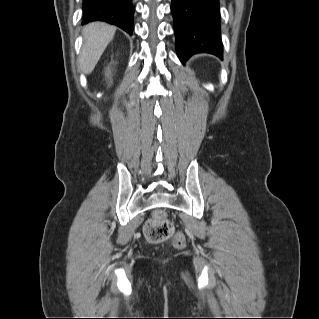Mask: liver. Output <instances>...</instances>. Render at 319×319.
Returning <instances> with one entry per match:
<instances>
[{
    "label": "liver",
    "instance_id": "liver-1",
    "mask_svg": "<svg viewBox=\"0 0 319 319\" xmlns=\"http://www.w3.org/2000/svg\"><path fill=\"white\" fill-rule=\"evenodd\" d=\"M116 28L103 22H94L83 28L84 43L80 55V67L90 74L107 45L113 39Z\"/></svg>",
    "mask_w": 319,
    "mask_h": 319
}]
</instances>
